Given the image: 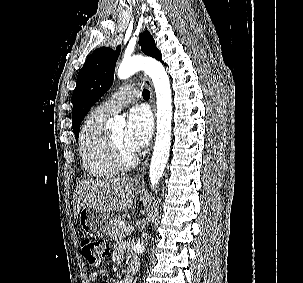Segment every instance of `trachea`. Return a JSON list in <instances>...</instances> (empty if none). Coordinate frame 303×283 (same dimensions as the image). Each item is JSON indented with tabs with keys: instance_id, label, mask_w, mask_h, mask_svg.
Masks as SVG:
<instances>
[{
	"instance_id": "trachea-1",
	"label": "trachea",
	"mask_w": 303,
	"mask_h": 283,
	"mask_svg": "<svg viewBox=\"0 0 303 283\" xmlns=\"http://www.w3.org/2000/svg\"><path fill=\"white\" fill-rule=\"evenodd\" d=\"M142 96L144 99H149L150 98V92L147 89H144L142 92Z\"/></svg>"
}]
</instances>
